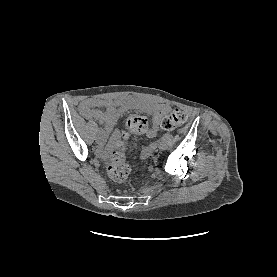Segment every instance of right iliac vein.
Masks as SVG:
<instances>
[{
	"mask_svg": "<svg viewBox=\"0 0 277 277\" xmlns=\"http://www.w3.org/2000/svg\"><path fill=\"white\" fill-rule=\"evenodd\" d=\"M103 142H104V140H103V138L102 137H96V143L97 144H103Z\"/></svg>",
	"mask_w": 277,
	"mask_h": 277,
	"instance_id": "right-iliac-vein-1",
	"label": "right iliac vein"
}]
</instances>
